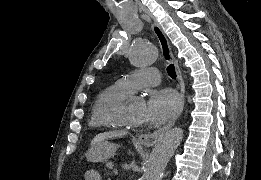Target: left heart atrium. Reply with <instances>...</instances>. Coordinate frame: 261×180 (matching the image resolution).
Wrapping results in <instances>:
<instances>
[{"instance_id": "1", "label": "left heart atrium", "mask_w": 261, "mask_h": 180, "mask_svg": "<svg viewBox=\"0 0 261 180\" xmlns=\"http://www.w3.org/2000/svg\"><path fill=\"white\" fill-rule=\"evenodd\" d=\"M181 105L179 95L172 89H155L145 102L143 114L149 122L164 120L175 114Z\"/></svg>"}]
</instances>
